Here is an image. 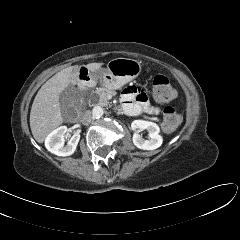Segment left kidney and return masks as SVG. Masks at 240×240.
I'll use <instances>...</instances> for the list:
<instances>
[{
  "instance_id": "obj_1",
  "label": "left kidney",
  "mask_w": 240,
  "mask_h": 240,
  "mask_svg": "<svg viewBox=\"0 0 240 240\" xmlns=\"http://www.w3.org/2000/svg\"><path fill=\"white\" fill-rule=\"evenodd\" d=\"M131 129L134 131L133 143L137 148L142 150H155L162 145L163 138L159 134L160 129L156 123L146 120H134L131 124ZM143 130L148 131V140L139 134Z\"/></svg>"
}]
</instances>
